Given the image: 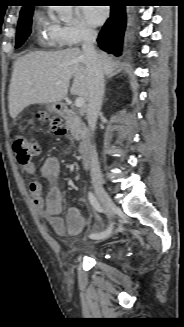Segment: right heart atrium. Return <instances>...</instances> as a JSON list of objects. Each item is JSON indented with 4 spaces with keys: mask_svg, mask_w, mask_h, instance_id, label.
Returning a JSON list of instances; mask_svg holds the SVG:
<instances>
[{
    "mask_svg": "<svg viewBox=\"0 0 184 327\" xmlns=\"http://www.w3.org/2000/svg\"><path fill=\"white\" fill-rule=\"evenodd\" d=\"M95 30L79 17L63 25H58L57 40L63 46H77L84 40L94 36Z\"/></svg>",
    "mask_w": 184,
    "mask_h": 327,
    "instance_id": "obj_1",
    "label": "right heart atrium"
}]
</instances>
